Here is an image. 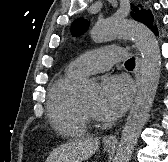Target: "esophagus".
<instances>
[{"mask_svg":"<svg viewBox=\"0 0 168 162\" xmlns=\"http://www.w3.org/2000/svg\"><path fill=\"white\" fill-rule=\"evenodd\" d=\"M141 70H142V61L138 53H136V67H135V80H136V85L139 84V79L141 75ZM118 135L119 131H117L113 135H109L104 139V143L107 145H115L118 142Z\"/></svg>","mask_w":168,"mask_h":162,"instance_id":"34e87169","label":"esophagus"}]
</instances>
